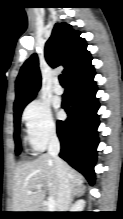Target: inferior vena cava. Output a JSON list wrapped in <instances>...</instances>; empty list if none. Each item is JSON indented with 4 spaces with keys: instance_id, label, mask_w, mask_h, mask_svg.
I'll return each instance as SVG.
<instances>
[{
    "instance_id": "1",
    "label": "inferior vena cava",
    "mask_w": 123,
    "mask_h": 219,
    "mask_svg": "<svg viewBox=\"0 0 123 219\" xmlns=\"http://www.w3.org/2000/svg\"><path fill=\"white\" fill-rule=\"evenodd\" d=\"M60 152V142L56 133L50 136L48 155L52 157L55 163L56 174L58 177V198L57 212H67L71 202L72 186L69 180L68 171L65 163L58 157Z\"/></svg>"
}]
</instances>
